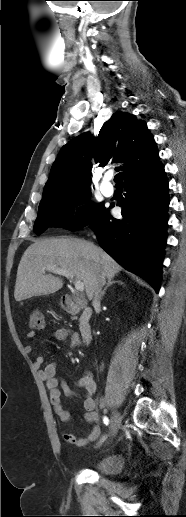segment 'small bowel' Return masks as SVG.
<instances>
[{"instance_id": "c3829d8e", "label": "small bowel", "mask_w": 186, "mask_h": 517, "mask_svg": "<svg viewBox=\"0 0 186 517\" xmlns=\"http://www.w3.org/2000/svg\"><path fill=\"white\" fill-rule=\"evenodd\" d=\"M34 336L33 332L26 334L27 340L34 339ZM52 337L57 340H69L71 348L80 347L82 345L78 332L70 328L57 329L53 331ZM25 350L30 354L33 352V347L27 345ZM43 364V357L37 356L34 358V366L39 370L40 377L46 382L50 402L56 414L62 422L67 423L70 421L71 415L62 405L61 394L63 392L67 397L71 398L77 397V394L69 387L66 381L57 377L58 365L55 362L49 363L42 368ZM75 385L84 390V419L86 423L91 425V428L85 437H79L73 433L64 432L63 439L69 444L80 447L96 441L100 437L101 429L99 426V417L95 411L96 402L94 395L96 393V382L93 375L89 371H85L82 377L76 381Z\"/></svg>"}]
</instances>
